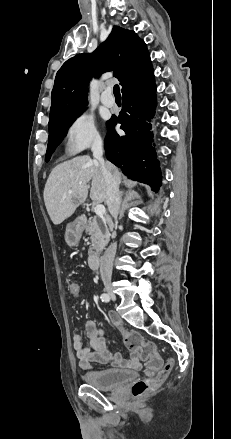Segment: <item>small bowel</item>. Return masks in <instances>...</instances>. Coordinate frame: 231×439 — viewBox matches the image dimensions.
Returning <instances> with one entry per match:
<instances>
[{"instance_id": "obj_1", "label": "small bowel", "mask_w": 231, "mask_h": 439, "mask_svg": "<svg viewBox=\"0 0 231 439\" xmlns=\"http://www.w3.org/2000/svg\"><path fill=\"white\" fill-rule=\"evenodd\" d=\"M78 295V294H77ZM113 327L123 336L128 332L121 320L114 314L109 315ZM85 334L88 344L85 345L81 334L73 335V348L76 351L79 367L83 370L92 368V363L112 364L121 368L137 369L141 365V358L136 351H132L129 359H123L120 353H112L108 350L102 328L90 320L86 322Z\"/></svg>"}]
</instances>
